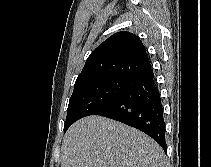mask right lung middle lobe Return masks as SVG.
<instances>
[{"instance_id":"obj_1","label":"right lung middle lobe","mask_w":211,"mask_h":167,"mask_svg":"<svg viewBox=\"0 0 211 167\" xmlns=\"http://www.w3.org/2000/svg\"><path fill=\"white\" fill-rule=\"evenodd\" d=\"M126 77H104L74 86L69 100L64 132L78 119L93 115L109 104L129 86Z\"/></svg>"}]
</instances>
